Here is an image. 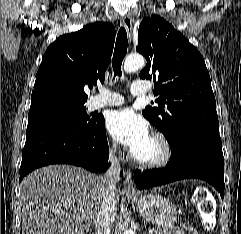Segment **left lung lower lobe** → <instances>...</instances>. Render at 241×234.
<instances>
[{
  "instance_id": "1",
  "label": "left lung lower lobe",
  "mask_w": 241,
  "mask_h": 234,
  "mask_svg": "<svg viewBox=\"0 0 241 234\" xmlns=\"http://www.w3.org/2000/svg\"><path fill=\"white\" fill-rule=\"evenodd\" d=\"M219 135L196 132L182 137L171 149L172 156L160 170H137L134 182L147 189L181 179H202L224 197V158Z\"/></svg>"
}]
</instances>
